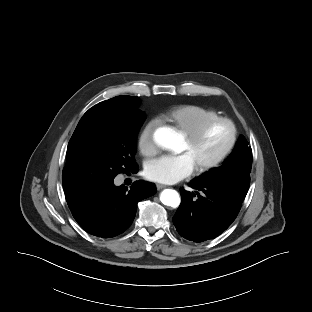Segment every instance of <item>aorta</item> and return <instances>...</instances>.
Masks as SVG:
<instances>
[{
  "label": "aorta",
  "instance_id": "obj_1",
  "mask_svg": "<svg viewBox=\"0 0 312 312\" xmlns=\"http://www.w3.org/2000/svg\"><path fill=\"white\" fill-rule=\"evenodd\" d=\"M154 141L160 147L173 149L175 147L174 135L170 129L162 127L154 132ZM160 200L164 205L176 208L180 205V196L176 190L165 189L160 195Z\"/></svg>",
  "mask_w": 312,
  "mask_h": 312
}]
</instances>
